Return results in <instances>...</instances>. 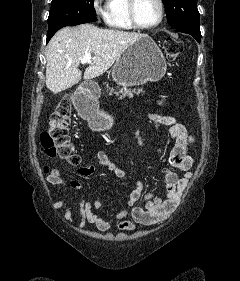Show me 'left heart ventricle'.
Segmentation results:
<instances>
[{
    "label": "left heart ventricle",
    "instance_id": "1",
    "mask_svg": "<svg viewBox=\"0 0 240 281\" xmlns=\"http://www.w3.org/2000/svg\"><path fill=\"white\" fill-rule=\"evenodd\" d=\"M136 12L141 24H154L158 20L160 13L157 0H138Z\"/></svg>",
    "mask_w": 240,
    "mask_h": 281
}]
</instances>
